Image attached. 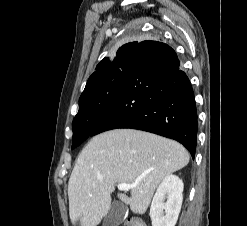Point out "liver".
<instances>
[{"label":"liver","mask_w":247,"mask_h":226,"mask_svg":"<svg viewBox=\"0 0 247 226\" xmlns=\"http://www.w3.org/2000/svg\"><path fill=\"white\" fill-rule=\"evenodd\" d=\"M178 142L134 129H114L93 137L81 151L68 182L69 215L75 226H97L111 207L115 185L136 184L118 198L144 214L158 184L189 163Z\"/></svg>","instance_id":"6515ba94"}]
</instances>
